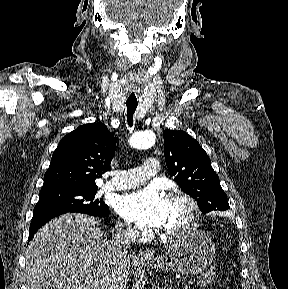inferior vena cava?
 Returning <instances> with one entry per match:
<instances>
[{"instance_id":"602c4592","label":"inferior vena cava","mask_w":288,"mask_h":289,"mask_svg":"<svg viewBox=\"0 0 288 289\" xmlns=\"http://www.w3.org/2000/svg\"><path fill=\"white\" fill-rule=\"evenodd\" d=\"M137 237V230L130 224L116 226V235L110 240V263L97 277L95 289H117L122 269L127 261L130 243Z\"/></svg>"}]
</instances>
